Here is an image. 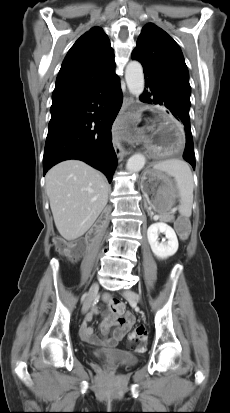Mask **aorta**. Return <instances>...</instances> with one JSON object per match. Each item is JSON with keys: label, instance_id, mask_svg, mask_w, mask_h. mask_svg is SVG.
Returning <instances> with one entry per match:
<instances>
[{"label": "aorta", "instance_id": "762f6f07", "mask_svg": "<svg viewBox=\"0 0 230 413\" xmlns=\"http://www.w3.org/2000/svg\"><path fill=\"white\" fill-rule=\"evenodd\" d=\"M125 79L129 92L139 97L144 90V74L142 65L138 61H130L125 70ZM146 158L143 154H134L126 164L129 172H139L145 165Z\"/></svg>", "mask_w": 230, "mask_h": 413}]
</instances>
